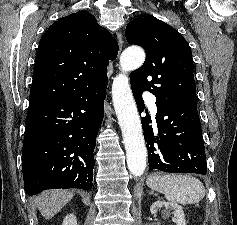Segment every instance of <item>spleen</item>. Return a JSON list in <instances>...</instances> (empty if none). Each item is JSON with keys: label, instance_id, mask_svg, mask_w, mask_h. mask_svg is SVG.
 I'll use <instances>...</instances> for the list:
<instances>
[{"label": "spleen", "instance_id": "spleen-1", "mask_svg": "<svg viewBox=\"0 0 237 225\" xmlns=\"http://www.w3.org/2000/svg\"><path fill=\"white\" fill-rule=\"evenodd\" d=\"M148 186L173 203L195 204L205 196L203 183L191 175L152 174L147 180Z\"/></svg>", "mask_w": 237, "mask_h": 225}]
</instances>
